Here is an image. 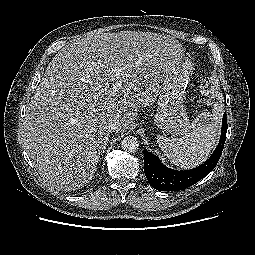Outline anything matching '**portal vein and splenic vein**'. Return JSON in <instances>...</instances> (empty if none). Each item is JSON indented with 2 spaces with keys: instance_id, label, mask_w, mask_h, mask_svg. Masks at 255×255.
Wrapping results in <instances>:
<instances>
[{
  "instance_id": "18ae733b",
  "label": "portal vein and splenic vein",
  "mask_w": 255,
  "mask_h": 255,
  "mask_svg": "<svg viewBox=\"0 0 255 255\" xmlns=\"http://www.w3.org/2000/svg\"><path fill=\"white\" fill-rule=\"evenodd\" d=\"M124 68H119V67H112L110 70V72L112 73L113 77H115L116 79L120 78V74L122 72ZM118 86H120V83H117ZM117 85H115L113 87V91H117Z\"/></svg>"
}]
</instances>
